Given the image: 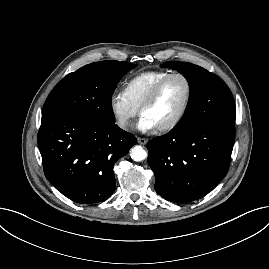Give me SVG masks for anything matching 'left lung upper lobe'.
<instances>
[{
	"label": "left lung upper lobe",
	"instance_id": "obj_1",
	"mask_svg": "<svg viewBox=\"0 0 269 269\" xmlns=\"http://www.w3.org/2000/svg\"><path fill=\"white\" fill-rule=\"evenodd\" d=\"M163 68L176 69L189 82L190 102L174 131H188L216 119L235 120V103L226 83L206 69L187 62L169 61Z\"/></svg>",
	"mask_w": 269,
	"mask_h": 269
}]
</instances>
